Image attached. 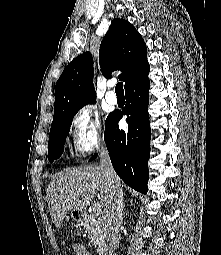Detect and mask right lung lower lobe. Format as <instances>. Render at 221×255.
Wrapping results in <instances>:
<instances>
[{
	"label": "right lung lower lobe",
	"mask_w": 221,
	"mask_h": 255,
	"mask_svg": "<svg viewBox=\"0 0 221 255\" xmlns=\"http://www.w3.org/2000/svg\"><path fill=\"white\" fill-rule=\"evenodd\" d=\"M149 64L125 86L126 106L121 113L109 115L104 139L114 170L131 188L146 193L151 129L147 107L149 103ZM127 115L128 131L119 129L118 122ZM94 154L89 161L95 159Z\"/></svg>",
	"instance_id": "98d812e1"
}]
</instances>
